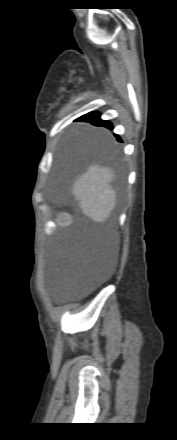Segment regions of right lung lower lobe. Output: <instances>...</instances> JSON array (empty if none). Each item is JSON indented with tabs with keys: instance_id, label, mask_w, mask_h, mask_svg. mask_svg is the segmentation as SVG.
<instances>
[{
	"instance_id": "1",
	"label": "right lung lower lobe",
	"mask_w": 177,
	"mask_h": 440,
	"mask_svg": "<svg viewBox=\"0 0 177 440\" xmlns=\"http://www.w3.org/2000/svg\"><path fill=\"white\" fill-rule=\"evenodd\" d=\"M78 120L90 122L95 126H103L108 129H113V126L109 121H103L100 119V114L96 112H91L81 116ZM118 141H121L120 137L117 136Z\"/></svg>"
}]
</instances>
